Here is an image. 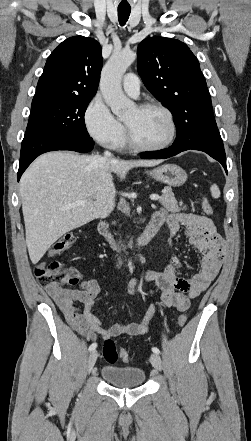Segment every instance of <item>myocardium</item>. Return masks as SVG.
<instances>
[{"label": "myocardium", "instance_id": "obj_1", "mask_svg": "<svg viewBox=\"0 0 251 441\" xmlns=\"http://www.w3.org/2000/svg\"><path fill=\"white\" fill-rule=\"evenodd\" d=\"M136 107L139 110L158 109V110L162 111L168 118V121L170 124V135L166 141H164L163 143H161L159 145H153V146L145 145L136 139V137L134 136L130 127L124 122L126 140L129 143V145L136 150L148 151V152L161 151V150L168 148L173 143V141L175 140L176 135H177V124H176L174 115L171 112V110L168 107H166L165 105L158 103V102H143V103L138 104Z\"/></svg>", "mask_w": 251, "mask_h": 441}]
</instances>
